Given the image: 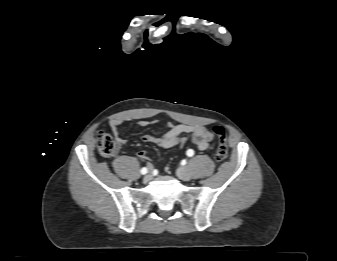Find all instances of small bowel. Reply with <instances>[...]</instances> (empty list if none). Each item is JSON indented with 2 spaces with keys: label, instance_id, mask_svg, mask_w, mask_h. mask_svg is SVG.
<instances>
[{
  "label": "small bowel",
  "instance_id": "obj_1",
  "mask_svg": "<svg viewBox=\"0 0 337 261\" xmlns=\"http://www.w3.org/2000/svg\"><path fill=\"white\" fill-rule=\"evenodd\" d=\"M151 124L150 121L141 120L138 122L140 127H148ZM110 128L114 134L117 146L124 145L127 140L121 136L120 127L122 121L118 119L111 120ZM167 131L160 136H153L150 134H143L141 140L144 143H154L162 148H172L175 146H182L186 142L190 141L199 150H206L212 140L213 133L202 125H189V124H173L171 122L166 123ZM137 156L142 160H148L147 153L143 150L137 152ZM151 167V164H148Z\"/></svg>",
  "mask_w": 337,
  "mask_h": 261
}]
</instances>
